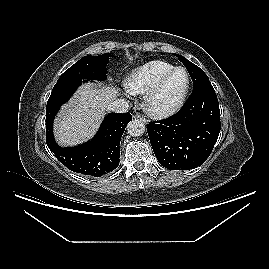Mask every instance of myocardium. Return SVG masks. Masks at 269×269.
Listing matches in <instances>:
<instances>
[{
  "mask_svg": "<svg viewBox=\"0 0 269 269\" xmlns=\"http://www.w3.org/2000/svg\"><path fill=\"white\" fill-rule=\"evenodd\" d=\"M178 71H183L186 75V84L185 87L180 94V96L170 105L168 106H158L157 99L162 92L164 86L169 81V79ZM191 86V77L189 72L184 67H174L172 70L167 72L164 76H162L156 84L145 93L144 96V108L145 111L153 118L163 119L167 118L177 111H179L184 105L186 98L188 96L189 90Z\"/></svg>",
  "mask_w": 269,
  "mask_h": 269,
  "instance_id": "obj_1",
  "label": "myocardium"
}]
</instances>
